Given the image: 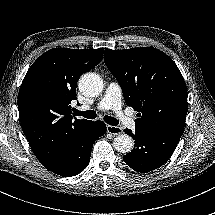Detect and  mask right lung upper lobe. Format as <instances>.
Segmentation results:
<instances>
[{
	"mask_svg": "<svg viewBox=\"0 0 215 215\" xmlns=\"http://www.w3.org/2000/svg\"><path fill=\"white\" fill-rule=\"evenodd\" d=\"M100 49L54 48L29 68L18 94L22 130L37 159L47 168L58 162L70 134L88 122L73 119L71 101L79 77L98 65Z\"/></svg>",
	"mask_w": 215,
	"mask_h": 215,
	"instance_id": "obj_1",
	"label": "right lung upper lobe"
}]
</instances>
